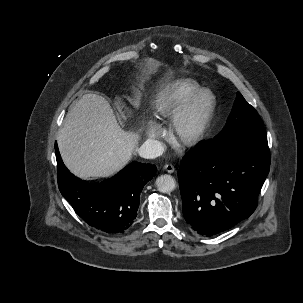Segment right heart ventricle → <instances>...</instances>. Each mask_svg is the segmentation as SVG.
<instances>
[{
  "mask_svg": "<svg viewBox=\"0 0 303 303\" xmlns=\"http://www.w3.org/2000/svg\"><path fill=\"white\" fill-rule=\"evenodd\" d=\"M199 89L200 85L192 79H178L168 84L157 96L154 115L165 120L175 114Z\"/></svg>",
  "mask_w": 303,
  "mask_h": 303,
  "instance_id": "e07e8e85",
  "label": "right heart ventricle"
}]
</instances>
